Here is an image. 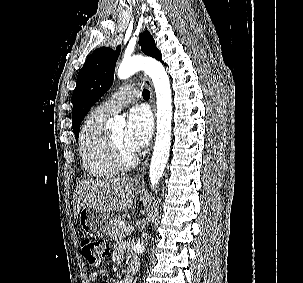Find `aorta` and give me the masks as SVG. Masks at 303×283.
Returning <instances> with one entry per match:
<instances>
[{
	"instance_id": "aorta-1",
	"label": "aorta",
	"mask_w": 303,
	"mask_h": 283,
	"mask_svg": "<svg viewBox=\"0 0 303 283\" xmlns=\"http://www.w3.org/2000/svg\"><path fill=\"white\" fill-rule=\"evenodd\" d=\"M143 70L154 84L157 104V131L154 151L149 169L152 187L158 185L169 157L171 146L172 94L170 81L163 65L150 57L134 56L122 61L118 68L119 79H127ZM110 126H124L125 120L116 117L109 121Z\"/></svg>"
}]
</instances>
